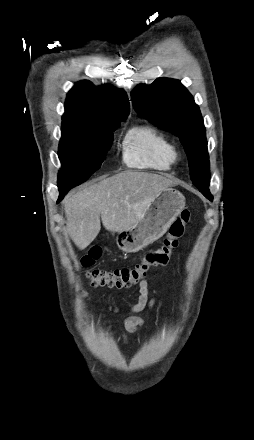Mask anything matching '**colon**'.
I'll return each instance as SVG.
<instances>
[{"label": "colon", "mask_w": 254, "mask_h": 440, "mask_svg": "<svg viewBox=\"0 0 254 440\" xmlns=\"http://www.w3.org/2000/svg\"><path fill=\"white\" fill-rule=\"evenodd\" d=\"M190 217L191 214L188 210L182 211L180 216L170 225L162 246L147 251L143 259L136 265L110 270L92 269L88 271L87 278L90 285L92 287H128L141 280L151 267L166 265L173 251L177 248ZM100 255V248L94 247L82 256L81 263L84 266H90Z\"/></svg>", "instance_id": "obj_1"}]
</instances>
